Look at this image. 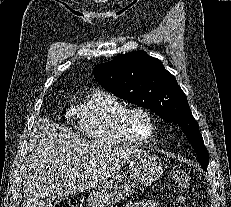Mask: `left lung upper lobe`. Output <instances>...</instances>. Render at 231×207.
Returning <instances> with one entry per match:
<instances>
[{
	"instance_id": "1",
	"label": "left lung upper lobe",
	"mask_w": 231,
	"mask_h": 207,
	"mask_svg": "<svg viewBox=\"0 0 231 207\" xmlns=\"http://www.w3.org/2000/svg\"><path fill=\"white\" fill-rule=\"evenodd\" d=\"M94 77L115 96L178 124L193 147L201 167L207 170L209 154L199 125L176 78L159 59L144 51L121 54L110 62L94 67Z\"/></svg>"
}]
</instances>
